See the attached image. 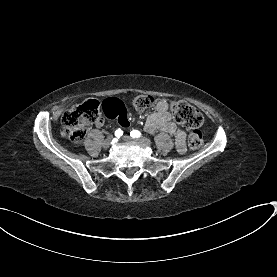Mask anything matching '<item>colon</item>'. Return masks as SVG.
<instances>
[{
	"instance_id": "obj_1",
	"label": "colon",
	"mask_w": 277,
	"mask_h": 277,
	"mask_svg": "<svg viewBox=\"0 0 277 277\" xmlns=\"http://www.w3.org/2000/svg\"><path fill=\"white\" fill-rule=\"evenodd\" d=\"M129 103L135 109L143 110L154 105V98L151 95L141 94L131 98ZM99 111L100 104L95 99H87L82 105L66 110L61 118L65 136L72 142L82 141L87 126L102 118ZM170 111L178 123L191 130L187 139L188 146L192 149H199L203 144L200 131L204 122L203 114L187 102L177 100L170 103Z\"/></svg>"
}]
</instances>
